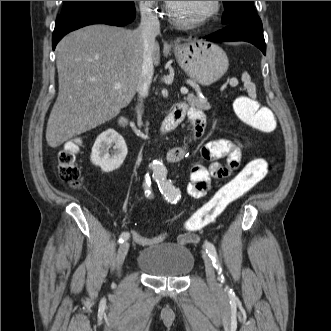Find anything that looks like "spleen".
<instances>
[{
  "instance_id": "spleen-1",
  "label": "spleen",
  "mask_w": 331,
  "mask_h": 331,
  "mask_svg": "<svg viewBox=\"0 0 331 331\" xmlns=\"http://www.w3.org/2000/svg\"><path fill=\"white\" fill-rule=\"evenodd\" d=\"M242 80L244 81L245 88L248 91L250 97H256V86L251 82V78L247 72L242 74Z\"/></svg>"
}]
</instances>
